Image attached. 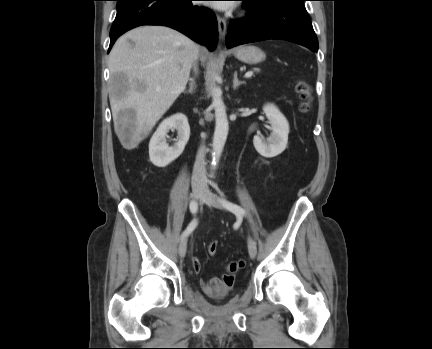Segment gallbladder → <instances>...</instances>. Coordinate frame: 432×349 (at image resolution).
<instances>
[{
  "label": "gallbladder",
  "instance_id": "gallbladder-1",
  "mask_svg": "<svg viewBox=\"0 0 432 349\" xmlns=\"http://www.w3.org/2000/svg\"><path fill=\"white\" fill-rule=\"evenodd\" d=\"M118 77H122V74H119Z\"/></svg>",
  "mask_w": 432,
  "mask_h": 349
}]
</instances>
